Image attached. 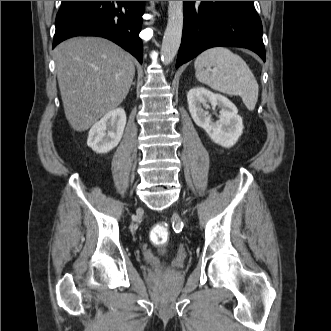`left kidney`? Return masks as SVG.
<instances>
[{"mask_svg":"<svg viewBox=\"0 0 331 331\" xmlns=\"http://www.w3.org/2000/svg\"><path fill=\"white\" fill-rule=\"evenodd\" d=\"M189 112L195 124L203 128L212 141L225 148L236 144L243 132L242 118L236 106L225 96L197 87L187 94ZM221 108L220 119L213 122L208 109Z\"/></svg>","mask_w":331,"mask_h":331,"instance_id":"1","label":"left kidney"}]
</instances>
